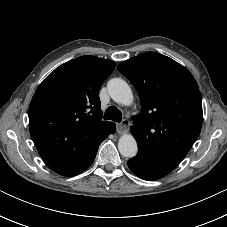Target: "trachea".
I'll return each instance as SVG.
<instances>
[{
	"label": "trachea",
	"instance_id": "trachea-1",
	"mask_svg": "<svg viewBox=\"0 0 227 227\" xmlns=\"http://www.w3.org/2000/svg\"><path fill=\"white\" fill-rule=\"evenodd\" d=\"M104 119L113 120L115 122H121L122 113L115 106H110L105 111Z\"/></svg>",
	"mask_w": 227,
	"mask_h": 227
}]
</instances>
